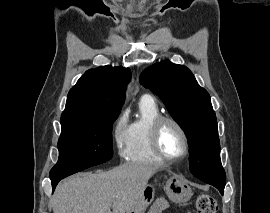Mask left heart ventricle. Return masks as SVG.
<instances>
[{
    "label": "left heart ventricle",
    "mask_w": 270,
    "mask_h": 213,
    "mask_svg": "<svg viewBox=\"0 0 270 213\" xmlns=\"http://www.w3.org/2000/svg\"><path fill=\"white\" fill-rule=\"evenodd\" d=\"M160 146L169 157H179L184 151V141L178 129L172 124H166L160 134Z\"/></svg>",
    "instance_id": "obj_1"
}]
</instances>
